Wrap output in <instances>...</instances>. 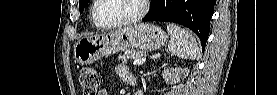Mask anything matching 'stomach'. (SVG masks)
<instances>
[{"instance_id": "obj_1", "label": "stomach", "mask_w": 277, "mask_h": 95, "mask_svg": "<svg viewBox=\"0 0 277 95\" xmlns=\"http://www.w3.org/2000/svg\"><path fill=\"white\" fill-rule=\"evenodd\" d=\"M166 41L167 35L159 26L137 24L106 34L79 39L74 45V59L80 65H87L104 56L128 49L157 50Z\"/></svg>"}]
</instances>
